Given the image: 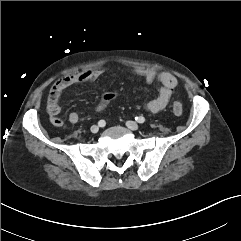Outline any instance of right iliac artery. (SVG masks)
Masks as SVG:
<instances>
[{"instance_id":"1","label":"right iliac artery","mask_w":241,"mask_h":241,"mask_svg":"<svg viewBox=\"0 0 241 241\" xmlns=\"http://www.w3.org/2000/svg\"><path fill=\"white\" fill-rule=\"evenodd\" d=\"M105 121L104 120H100L99 122H98V125L100 126V127H104L105 126Z\"/></svg>"}]
</instances>
